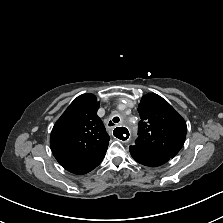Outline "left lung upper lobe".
<instances>
[{"mask_svg":"<svg viewBox=\"0 0 223 223\" xmlns=\"http://www.w3.org/2000/svg\"><path fill=\"white\" fill-rule=\"evenodd\" d=\"M138 112L141 121L134 146L173 158L185 141L187 126L184 119L154 93L142 97Z\"/></svg>","mask_w":223,"mask_h":223,"instance_id":"left-lung-upper-lobe-1","label":"left lung upper lobe"}]
</instances>
